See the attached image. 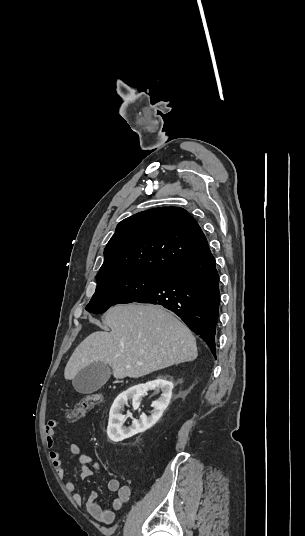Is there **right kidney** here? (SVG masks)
<instances>
[{"instance_id": "ca27d5eb", "label": "right kidney", "mask_w": 305, "mask_h": 536, "mask_svg": "<svg viewBox=\"0 0 305 536\" xmlns=\"http://www.w3.org/2000/svg\"><path fill=\"white\" fill-rule=\"evenodd\" d=\"M148 390H155V394L162 392L160 398L156 402H152L151 406L154 408L152 410L151 416H140L141 420L139 422H133L130 428H125L123 426L126 418L121 414V408L124 404H127L129 398H133V404L136 402V408L140 406V396H143ZM173 384L168 382L167 378L164 376H158L157 380H152V382H147V384H139V386H133L126 390L124 394H120L116 398L109 414V422L107 428L108 438L112 442H122L125 438H131L134 434H139V432H145L148 428H152L159 418H161L164 410H166L172 396Z\"/></svg>"}]
</instances>
